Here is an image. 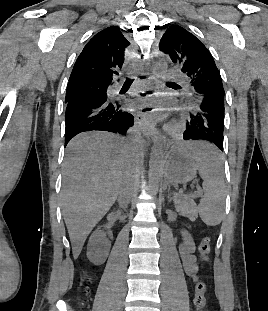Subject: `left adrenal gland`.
I'll use <instances>...</instances> for the list:
<instances>
[{
    "label": "left adrenal gland",
    "instance_id": "1",
    "mask_svg": "<svg viewBox=\"0 0 268 311\" xmlns=\"http://www.w3.org/2000/svg\"><path fill=\"white\" fill-rule=\"evenodd\" d=\"M167 187H168V182L167 180L164 181V185H163V190H167ZM168 198H169V195H168ZM171 200H169L170 202Z\"/></svg>",
    "mask_w": 268,
    "mask_h": 311
}]
</instances>
